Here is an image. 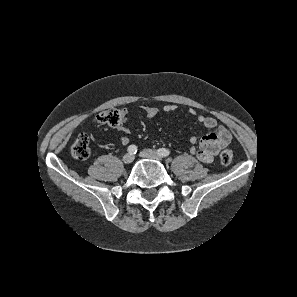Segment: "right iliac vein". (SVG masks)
<instances>
[{"label": "right iliac vein", "instance_id": "obj_1", "mask_svg": "<svg viewBox=\"0 0 297 297\" xmlns=\"http://www.w3.org/2000/svg\"><path fill=\"white\" fill-rule=\"evenodd\" d=\"M122 160H123L124 163L129 164V163L133 162L134 156L131 155V154H129V153H127V154H125L123 156Z\"/></svg>", "mask_w": 297, "mask_h": 297}]
</instances>
